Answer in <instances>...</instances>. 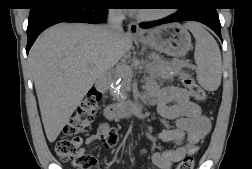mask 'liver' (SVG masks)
I'll return each mask as SVG.
<instances>
[{"instance_id": "6515ba94", "label": "liver", "mask_w": 252, "mask_h": 169, "mask_svg": "<svg viewBox=\"0 0 252 169\" xmlns=\"http://www.w3.org/2000/svg\"><path fill=\"white\" fill-rule=\"evenodd\" d=\"M132 48V38L105 34V26L60 23L45 30L29 52V65L49 142L107 70Z\"/></svg>"}]
</instances>
